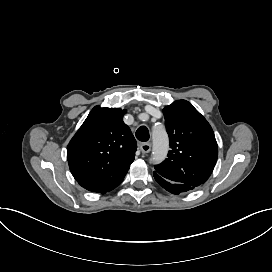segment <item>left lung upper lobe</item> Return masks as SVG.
Listing matches in <instances>:
<instances>
[{
  "mask_svg": "<svg viewBox=\"0 0 272 272\" xmlns=\"http://www.w3.org/2000/svg\"><path fill=\"white\" fill-rule=\"evenodd\" d=\"M170 139L168 158L155 165L163 178L197 187L211 175L218 157L214 132L207 120L186 100L163 109Z\"/></svg>",
  "mask_w": 272,
  "mask_h": 272,
  "instance_id": "5c2ea615",
  "label": "left lung upper lobe"
}]
</instances>
